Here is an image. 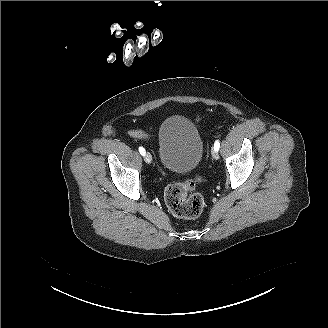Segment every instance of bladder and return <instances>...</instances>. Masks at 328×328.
I'll list each match as a JSON object with an SVG mask.
<instances>
[{"label": "bladder", "instance_id": "1", "mask_svg": "<svg viewBox=\"0 0 328 328\" xmlns=\"http://www.w3.org/2000/svg\"><path fill=\"white\" fill-rule=\"evenodd\" d=\"M188 119L183 116H168L158 132L160 161L175 173L192 172L200 162L203 143L200 133L194 129L191 133L183 132Z\"/></svg>", "mask_w": 328, "mask_h": 328}]
</instances>
